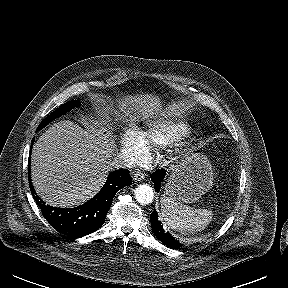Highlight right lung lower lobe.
<instances>
[{
	"label": "right lung lower lobe",
	"mask_w": 288,
	"mask_h": 288,
	"mask_svg": "<svg viewBox=\"0 0 288 288\" xmlns=\"http://www.w3.org/2000/svg\"><path fill=\"white\" fill-rule=\"evenodd\" d=\"M38 130L37 128V131ZM33 142L34 139H32L31 146ZM28 165H30V163ZM28 171L30 174V170ZM129 173L128 170L123 169L111 172L102 189L91 200L83 205L69 209L45 205L37 196L31 183L30 189L33 198L41 208L42 214L49 224L58 232L70 238H78L95 232L103 225L116 192L132 184V178Z\"/></svg>",
	"instance_id": "98d812e1"
}]
</instances>
